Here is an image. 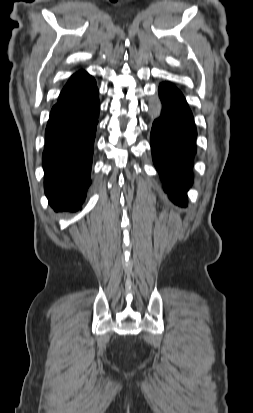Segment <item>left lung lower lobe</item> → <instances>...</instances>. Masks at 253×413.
I'll list each match as a JSON object with an SVG mask.
<instances>
[{
    "mask_svg": "<svg viewBox=\"0 0 253 413\" xmlns=\"http://www.w3.org/2000/svg\"><path fill=\"white\" fill-rule=\"evenodd\" d=\"M158 91L162 109L151 130L152 158L170 200L186 205L193 180L196 127L183 94L174 85L162 83Z\"/></svg>",
    "mask_w": 253,
    "mask_h": 413,
    "instance_id": "obj_1",
    "label": "left lung lower lobe"
}]
</instances>
